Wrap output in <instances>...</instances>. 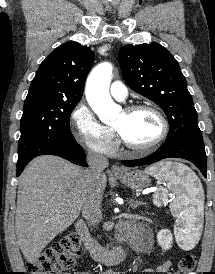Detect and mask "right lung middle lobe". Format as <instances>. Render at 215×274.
Returning a JSON list of instances; mask_svg holds the SVG:
<instances>
[{"instance_id":"right-lung-middle-lobe-1","label":"right lung middle lobe","mask_w":215,"mask_h":274,"mask_svg":"<svg viewBox=\"0 0 215 274\" xmlns=\"http://www.w3.org/2000/svg\"><path fill=\"white\" fill-rule=\"evenodd\" d=\"M77 102L35 100L24 103L18 162L56 146L75 144L69 118Z\"/></svg>"}]
</instances>
